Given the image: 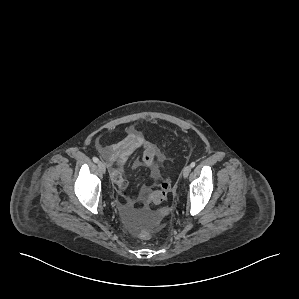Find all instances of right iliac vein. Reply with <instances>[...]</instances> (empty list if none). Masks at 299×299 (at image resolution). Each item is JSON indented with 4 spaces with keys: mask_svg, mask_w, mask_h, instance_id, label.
Here are the masks:
<instances>
[{
    "mask_svg": "<svg viewBox=\"0 0 299 299\" xmlns=\"http://www.w3.org/2000/svg\"><path fill=\"white\" fill-rule=\"evenodd\" d=\"M98 168L102 173H105L106 171V166L103 162H98Z\"/></svg>",
    "mask_w": 299,
    "mask_h": 299,
    "instance_id": "1",
    "label": "right iliac vein"
}]
</instances>
